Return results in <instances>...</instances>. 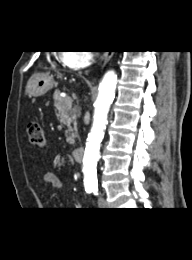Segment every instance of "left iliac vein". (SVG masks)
<instances>
[{
	"label": "left iliac vein",
	"instance_id": "obj_1",
	"mask_svg": "<svg viewBox=\"0 0 192 260\" xmlns=\"http://www.w3.org/2000/svg\"><path fill=\"white\" fill-rule=\"evenodd\" d=\"M98 205H99L100 208H107L108 207V203L102 197H99Z\"/></svg>",
	"mask_w": 192,
	"mask_h": 260
}]
</instances>
